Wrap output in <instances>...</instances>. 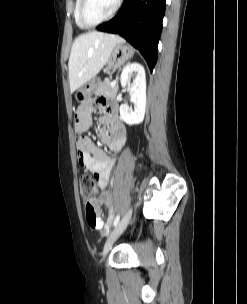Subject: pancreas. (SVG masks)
Here are the masks:
<instances>
[{"mask_svg":"<svg viewBox=\"0 0 247 304\" xmlns=\"http://www.w3.org/2000/svg\"><path fill=\"white\" fill-rule=\"evenodd\" d=\"M112 81L111 80H105L103 82H99L96 86L95 89V95H102L107 98H115L117 91H118V85L112 86Z\"/></svg>","mask_w":247,"mask_h":304,"instance_id":"cf45deb5","label":"pancreas"}]
</instances>
